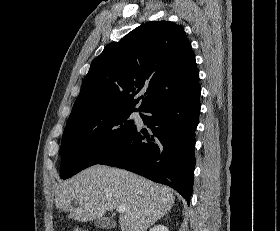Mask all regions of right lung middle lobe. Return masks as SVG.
Masks as SVG:
<instances>
[{
  "instance_id": "1",
  "label": "right lung middle lobe",
  "mask_w": 280,
  "mask_h": 231,
  "mask_svg": "<svg viewBox=\"0 0 280 231\" xmlns=\"http://www.w3.org/2000/svg\"><path fill=\"white\" fill-rule=\"evenodd\" d=\"M131 113L69 119L61 143L60 177L67 179L111 154L136 129L128 120Z\"/></svg>"
}]
</instances>
